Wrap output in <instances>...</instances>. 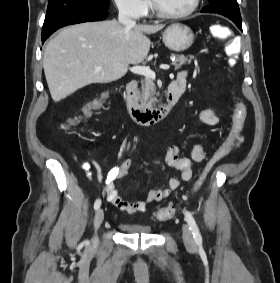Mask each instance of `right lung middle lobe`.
I'll list each match as a JSON object with an SVG mask.
<instances>
[{"mask_svg": "<svg viewBox=\"0 0 280 283\" xmlns=\"http://www.w3.org/2000/svg\"><path fill=\"white\" fill-rule=\"evenodd\" d=\"M110 0H49L46 18L65 14H93L107 13Z\"/></svg>", "mask_w": 280, "mask_h": 283, "instance_id": "right-lung-middle-lobe-1", "label": "right lung middle lobe"}]
</instances>
